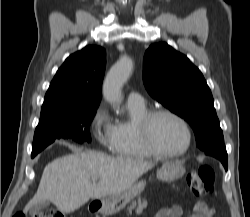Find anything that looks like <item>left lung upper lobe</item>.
Returning a JSON list of instances; mask_svg holds the SVG:
<instances>
[{
	"instance_id": "5c2ea615",
	"label": "left lung upper lobe",
	"mask_w": 250,
	"mask_h": 217,
	"mask_svg": "<svg viewBox=\"0 0 250 217\" xmlns=\"http://www.w3.org/2000/svg\"><path fill=\"white\" fill-rule=\"evenodd\" d=\"M143 81L152 98L186 120L202 151L224 145L211 91L200 70L166 43L144 56Z\"/></svg>"
}]
</instances>
